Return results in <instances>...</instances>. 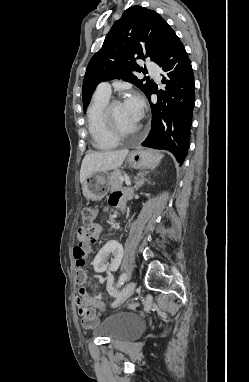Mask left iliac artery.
I'll use <instances>...</instances> for the list:
<instances>
[{"label": "left iliac artery", "instance_id": "44dca946", "mask_svg": "<svg viewBox=\"0 0 249 382\" xmlns=\"http://www.w3.org/2000/svg\"><path fill=\"white\" fill-rule=\"evenodd\" d=\"M128 279V275L126 273H123L120 277H119V280H118V284H117V287H120L121 285H123ZM110 291V293L112 294H115L116 293V290L113 289V288H109L108 289Z\"/></svg>", "mask_w": 249, "mask_h": 382}]
</instances>
